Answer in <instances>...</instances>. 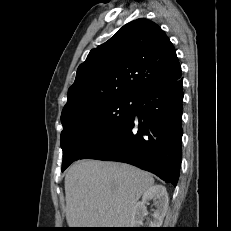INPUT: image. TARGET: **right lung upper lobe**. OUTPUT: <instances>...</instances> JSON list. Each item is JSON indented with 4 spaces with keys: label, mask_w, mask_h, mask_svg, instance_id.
I'll return each instance as SVG.
<instances>
[{
    "label": "right lung upper lobe",
    "mask_w": 231,
    "mask_h": 231,
    "mask_svg": "<svg viewBox=\"0 0 231 231\" xmlns=\"http://www.w3.org/2000/svg\"><path fill=\"white\" fill-rule=\"evenodd\" d=\"M173 44L154 22L140 18L124 25L80 64L62 115L180 79Z\"/></svg>",
    "instance_id": "obj_1"
}]
</instances>
